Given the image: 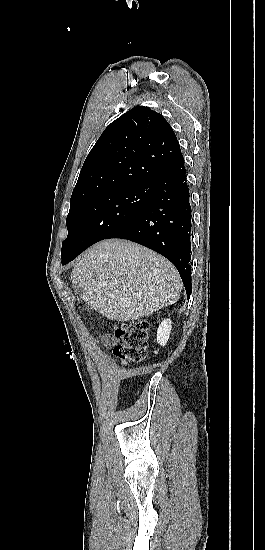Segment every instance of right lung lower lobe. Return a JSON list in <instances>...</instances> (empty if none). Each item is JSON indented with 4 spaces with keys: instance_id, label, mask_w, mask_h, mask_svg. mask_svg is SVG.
<instances>
[{
    "instance_id": "right-lung-lower-lobe-1",
    "label": "right lung lower lobe",
    "mask_w": 265,
    "mask_h": 550,
    "mask_svg": "<svg viewBox=\"0 0 265 550\" xmlns=\"http://www.w3.org/2000/svg\"><path fill=\"white\" fill-rule=\"evenodd\" d=\"M189 196L182 158L159 178L145 209L106 238L131 240L165 256L178 269L187 298L192 291Z\"/></svg>"
}]
</instances>
